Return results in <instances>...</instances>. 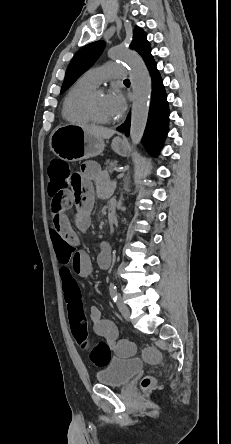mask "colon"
Returning <instances> with one entry per match:
<instances>
[{
  "mask_svg": "<svg viewBox=\"0 0 231 444\" xmlns=\"http://www.w3.org/2000/svg\"><path fill=\"white\" fill-rule=\"evenodd\" d=\"M48 177V193L51 198V208L56 210L60 206L62 193L73 185L77 173L72 171L67 163L61 160H53L48 167ZM68 310L72 335L96 366H105L111 358L112 350L119 353H128L134 350V344L129 340L92 344L88 336L87 318L79 297H68ZM143 356L150 362H158L160 360V353L154 347L145 348ZM152 383V378L146 376L143 378L141 385L144 389H147Z\"/></svg>",
  "mask_w": 231,
  "mask_h": 444,
  "instance_id": "colon-1",
  "label": "colon"
}]
</instances>
